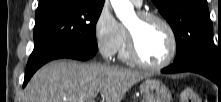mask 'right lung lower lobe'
Returning a JSON list of instances; mask_svg holds the SVG:
<instances>
[{
    "instance_id": "98d812e1",
    "label": "right lung lower lobe",
    "mask_w": 221,
    "mask_h": 102,
    "mask_svg": "<svg viewBox=\"0 0 221 102\" xmlns=\"http://www.w3.org/2000/svg\"><path fill=\"white\" fill-rule=\"evenodd\" d=\"M96 52L97 51H93L90 48L77 45H67L53 50L36 60L34 63L27 64L23 87L26 86V84L38 68L53 59L71 58L85 61L92 58L96 54Z\"/></svg>"
}]
</instances>
